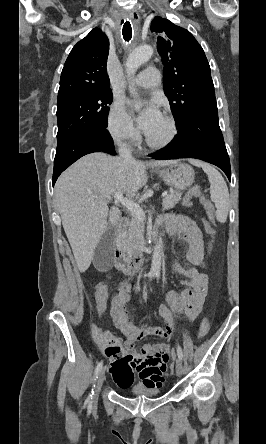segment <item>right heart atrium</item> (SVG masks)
I'll use <instances>...</instances> for the list:
<instances>
[{
	"mask_svg": "<svg viewBox=\"0 0 266 444\" xmlns=\"http://www.w3.org/2000/svg\"><path fill=\"white\" fill-rule=\"evenodd\" d=\"M107 129L110 136L117 143L133 144L138 139V130L122 101H115L109 111L107 118Z\"/></svg>",
	"mask_w": 266,
	"mask_h": 444,
	"instance_id": "obj_1",
	"label": "right heart atrium"
}]
</instances>
